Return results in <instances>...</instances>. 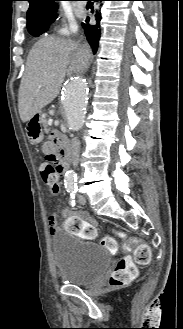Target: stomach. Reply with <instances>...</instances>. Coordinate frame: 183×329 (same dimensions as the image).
Returning <instances> with one entry per match:
<instances>
[{"label":"stomach","instance_id":"0dacf381","mask_svg":"<svg viewBox=\"0 0 183 329\" xmlns=\"http://www.w3.org/2000/svg\"><path fill=\"white\" fill-rule=\"evenodd\" d=\"M38 115L41 116V113H39ZM28 132L30 133V132H34V131H28ZM34 133L37 135L36 137L28 136L30 138L31 143H33V144L40 143L43 139V134L41 132H39L38 130H36Z\"/></svg>","mask_w":183,"mask_h":329}]
</instances>
